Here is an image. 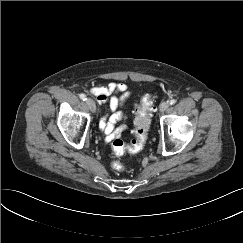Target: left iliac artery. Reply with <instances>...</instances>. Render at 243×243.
Here are the masks:
<instances>
[{
  "label": "left iliac artery",
  "instance_id": "44dca946",
  "mask_svg": "<svg viewBox=\"0 0 243 243\" xmlns=\"http://www.w3.org/2000/svg\"><path fill=\"white\" fill-rule=\"evenodd\" d=\"M175 103H176V100H175V99H172V100L169 101V104H170V105H173V104H175Z\"/></svg>",
  "mask_w": 243,
  "mask_h": 243
}]
</instances>
